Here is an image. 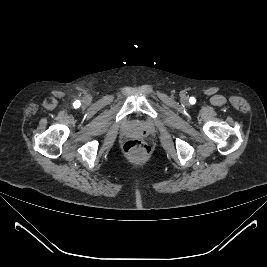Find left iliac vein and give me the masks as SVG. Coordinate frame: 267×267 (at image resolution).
Wrapping results in <instances>:
<instances>
[{
  "mask_svg": "<svg viewBox=\"0 0 267 267\" xmlns=\"http://www.w3.org/2000/svg\"><path fill=\"white\" fill-rule=\"evenodd\" d=\"M183 101H184V102H187V99H186L185 97H183Z\"/></svg>",
  "mask_w": 267,
  "mask_h": 267,
  "instance_id": "1",
  "label": "left iliac vein"
}]
</instances>
